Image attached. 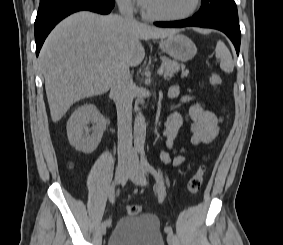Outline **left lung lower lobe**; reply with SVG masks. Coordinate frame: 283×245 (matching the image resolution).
<instances>
[{"mask_svg":"<svg viewBox=\"0 0 283 245\" xmlns=\"http://www.w3.org/2000/svg\"><path fill=\"white\" fill-rule=\"evenodd\" d=\"M156 26L160 27H186V26H197L203 28H213L224 32L230 40L233 42L237 55L239 54L241 32L240 27L233 26L221 21L215 20H203L196 17H192L186 20L173 21V22H156Z\"/></svg>","mask_w":283,"mask_h":245,"instance_id":"0a47b994","label":"left lung lower lobe"}]
</instances>
